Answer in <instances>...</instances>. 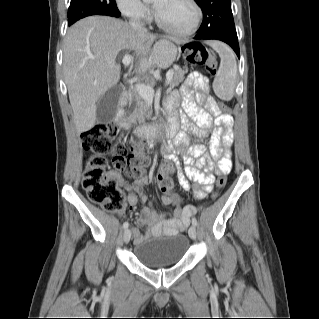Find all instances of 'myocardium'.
<instances>
[{
	"label": "myocardium",
	"instance_id": "f54148a6",
	"mask_svg": "<svg viewBox=\"0 0 319 319\" xmlns=\"http://www.w3.org/2000/svg\"><path fill=\"white\" fill-rule=\"evenodd\" d=\"M187 2L193 7V9L195 11L194 20H193L192 24L187 29L179 30V29H175L173 27H170L162 20V18L157 13L156 9H154L153 15H154V19H155V22L158 25V27H160L161 29L165 30L166 32H168L174 36H178V37H187V36L192 35L197 30V28L199 27L200 22L202 20V9L199 6V4L196 2V0H187Z\"/></svg>",
	"mask_w": 319,
	"mask_h": 319
}]
</instances>
